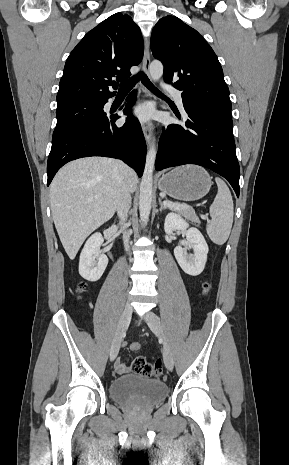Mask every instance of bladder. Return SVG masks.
Masks as SVG:
<instances>
[{
  "mask_svg": "<svg viewBox=\"0 0 289 465\" xmlns=\"http://www.w3.org/2000/svg\"><path fill=\"white\" fill-rule=\"evenodd\" d=\"M110 397L120 404L154 406L168 395V386L153 378L125 375L114 379L109 386Z\"/></svg>",
  "mask_w": 289,
  "mask_h": 465,
  "instance_id": "obj_1",
  "label": "bladder"
}]
</instances>
